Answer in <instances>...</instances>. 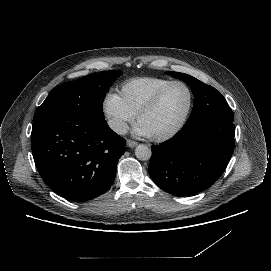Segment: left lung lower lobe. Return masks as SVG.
Here are the masks:
<instances>
[{
    "mask_svg": "<svg viewBox=\"0 0 271 271\" xmlns=\"http://www.w3.org/2000/svg\"><path fill=\"white\" fill-rule=\"evenodd\" d=\"M234 118L206 117L185 126L172 139L152 146L149 174L176 196L197 194L225 171L235 144Z\"/></svg>",
    "mask_w": 271,
    "mask_h": 271,
    "instance_id": "obj_1",
    "label": "left lung lower lobe"
}]
</instances>
